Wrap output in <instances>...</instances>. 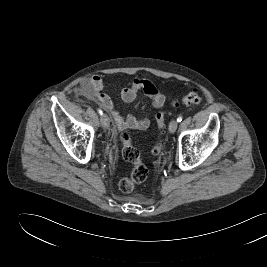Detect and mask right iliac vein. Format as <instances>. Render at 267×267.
<instances>
[{
  "label": "right iliac vein",
  "mask_w": 267,
  "mask_h": 267,
  "mask_svg": "<svg viewBox=\"0 0 267 267\" xmlns=\"http://www.w3.org/2000/svg\"><path fill=\"white\" fill-rule=\"evenodd\" d=\"M100 122H101L102 127L104 128L109 127L110 121H109V117L106 114L101 115Z\"/></svg>",
  "instance_id": "right-iliac-vein-1"
}]
</instances>
